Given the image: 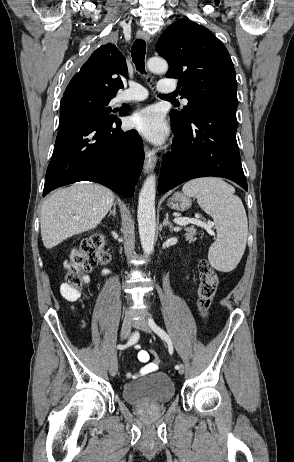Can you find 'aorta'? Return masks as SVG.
Wrapping results in <instances>:
<instances>
[{
  "label": "aorta",
  "instance_id": "762f6f07",
  "mask_svg": "<svg viewBox=\"0 0 294 462\" xmlns=\"http://www.w3.org/2000/svg\"><path fill=\"white\" fill-rule=\"evenodd\" d=\"M149 71L166 73L167 62L159 57H152L147 62ZM156 177L149 175L143 183L138 201V227L140 241L145 254H150L154 248L156 215H155Z\"/></svg>",
  "mask_w": 294,
  "mask_h": 462
}]
</instances>
